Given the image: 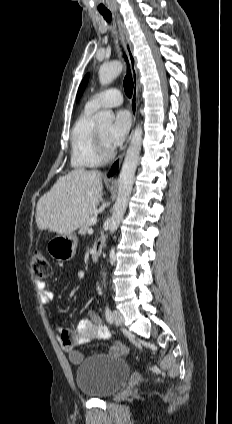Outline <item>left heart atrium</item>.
<instances>
[{
	"label": "left heart atrium",
	"mask_w": 232,
	"mask_h": 424,
	"mask_svg": "<svg viewBox=\"0 0 232 424\" xmlns=\"http://www.w3.org/2000/svg\"><path fill=\"white\" fill-rule=\"evenodd\" d=\"M130 128V114L125 110L118 111L108 134L109 145L112 148L119 146L125 140Z\"/></svg>",
	"instance_id": "39dd6f15"
}]
</instances>
